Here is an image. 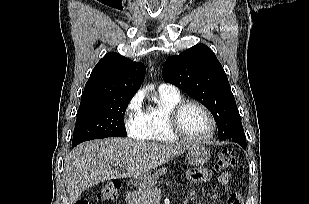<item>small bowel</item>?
<instances>
[{"label": "small bowel", "mask_w": 309, "mask_h": 204, "mask_svg": "<svg viewBox=\"0 0 309 204\" xmlns=\"http://www.w3.org/2000/svg\"><path fill=\"white\" fill-rule=\"evenodd\" d=\"M213 175V172L209 169H195L189 172V179L192 182L195 183H202V182H206L208 181L211 176ZM233 176V172L231 170L222 172L219 176H218V182L220 185L225 186L229 183V181L231 180ZM232 198H238L239 201H241V197L239 194L237 193H233L230 195L229 199H228V204H235L232 201Z\"/></svg>", "instance_id": "obj_1"}]
</instances>
